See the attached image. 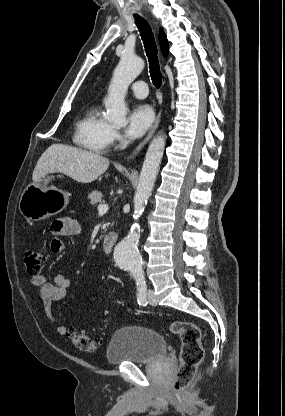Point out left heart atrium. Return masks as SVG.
<instances>
[{
  "mask_svg": "<svg viewBox=\"0 0 285 416\" xmlns=\"http://www.w3.org/2000/svg\"><path fill=\"white\" fill-rule=\"evenodd\" d=\"M153 121V110L150 106L139 104L133 107L128 116L126 135L131 139L141 137Z\"/></svg>",
  "mask_w": 285,
  "mask_h": 416,
  "instance_id": "1",
  "label": "left heart atrium"
}]
</instances>
